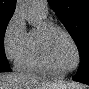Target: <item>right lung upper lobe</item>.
I'll return each instance as SVG.
<instances>
[{
	"instance_id": "obj_1",
	"label": "right lung upper lobe",
	"mask_w": 89,
	"mask_h": 89,
	"mask_svg": "<svg viewBox=\"0 0 89 89\" xmlns=\"http://www.w3.org/2000/svg\"><path fill=\"white\" fill-rule=\"evenodd\" d=\"M16 0H0V13H14Z\"/></svg>"
}]
</instances>
